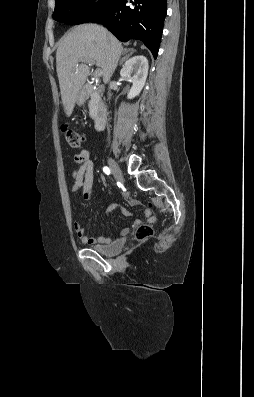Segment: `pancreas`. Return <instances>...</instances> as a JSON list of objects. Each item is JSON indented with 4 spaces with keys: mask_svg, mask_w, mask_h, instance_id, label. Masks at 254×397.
<instances>
[{
    "mask_svg": "<svg viewBox=\"0 0 254 397\" xmlns=\"http://www.w3.org/2000/svg\"><path fill=\"white\" fill-rule=\"evenodd\" d=\"M99 105H100V97L96 92H94L91 94V99L88 103L89 115L91 118H94L96 116Z\"/></svg>",
    "mask_w": 254,
    "mask_h": 397,
    "instance_id": "obj_1",
    "label": "pancreas"
}]
</instances>
